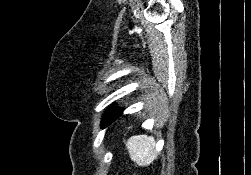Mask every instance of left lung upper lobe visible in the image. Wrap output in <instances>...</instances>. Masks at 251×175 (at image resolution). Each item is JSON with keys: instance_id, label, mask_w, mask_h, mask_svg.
<instances>
[{"instance_id": "1", "label": "left lung upper lobe", "mask_w": 251, "mask_h": 175, "mask_svg": "<svg viewBox=\"0 0 251 175\" xmlns=\"http://www.w3.org/2000/svg\"><path fill=\"white\" fill-rule=\"evenodd\" d=\"M107 126H108V124H106L105 121L103 120V121H102V127L105 128V127H107Z\"/></svg>"}]
</instances>
